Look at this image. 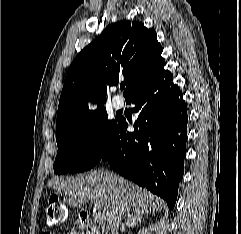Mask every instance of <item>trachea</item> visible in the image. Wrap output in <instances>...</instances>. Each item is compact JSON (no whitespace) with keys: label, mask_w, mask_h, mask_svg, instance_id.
<instances>
[{"label":"trachea","mask_w":241,"mask_h":234,"mask_svg":"<svg viewBox=\"0 0 241 234\" xmlns=\"http://www.w3.org/2000/svg\"><path fill=\"white\" fill-rule=\"evenodd\" d=\"M120 88H121V90H123L125 88V84H121Z\"/></svg>","instance_id":"1"}]
</instances>
